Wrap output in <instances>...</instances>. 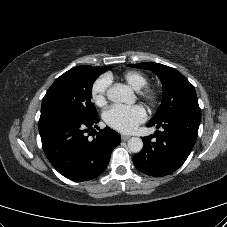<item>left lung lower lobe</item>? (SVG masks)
<instances>
[{
	"label": "left lung lower lobe",
	"mask_w": 227,
	"mask_h": 227,
	"mask_svg": "<svg viewBox=\"0 0 227 227\" xmlns=\"http://www.w3.org/2000/svg\"><path fill=\"white\" fill-rule=\"evenodd\" d=\"M201 113L183 112L164 120L147 124L162 127L163 132L143 137L144 149L133 157L135 167L142 173L160 177L177 170L186 161L195 141Z\"/></svg>",
	"instance_id": "obj_1"
}]
</instances>
